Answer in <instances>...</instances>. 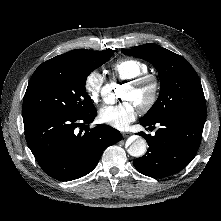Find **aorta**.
I'll return each mask as SVG.
<instances>
[{"mask_svg":"<svg viewBox=\"0 0 221 221\" xmlns=\"http://www.w3.org/2000/svg\"><path fill=\"white\" fill-rule=\"evenodd\" d=\"M117 94V91H115ZM147 151V142L142 137H136L134 141L131 143L127 152L133 157H141Z\"/></svg>","mask_w":221,"mask_h":221,"instance_id":"762f6f07","label":"aorta"}]
</instances>
